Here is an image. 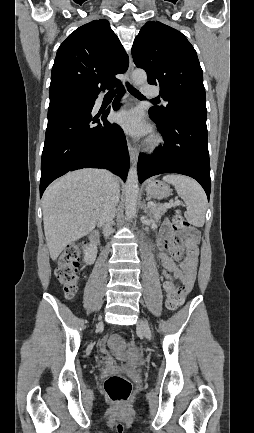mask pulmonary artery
Returning a JSON list of instances; mask_svg holds the SVG:
<instances>
[{"mask_svg":"<svg viewBox=\"0 0 254 433\" xmlns=\"http://www.w3.org/2000/svg\"><path fill=\"white\" fill-rule=\"evenodd\" d=\"M142 91L145 95L149 96H157L159 94L158 88L150 85H143Z\"/></svg>","mask_w":254,"mask_h":433,"instance_id":"e3ab8cb5","label":"pulmonary artery"}]
</instances>
